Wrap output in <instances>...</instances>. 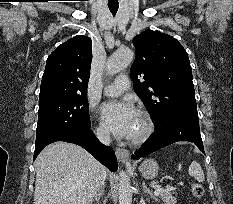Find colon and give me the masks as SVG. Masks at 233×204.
I'll return each mask as SVG.
<instances>
[{"label":"colon","mask_w":233,"mask_h":204,"mask_svg":"<svg viewBox=\"0 0 233 204\" xmlns=\"http://www.w3.org/2000/svg\"><path fill=\"white\" fill-rule=\"evenodd\" d=\"M191 191L196 199H201L204 195V187L198 182H192Z\"/></svg>","instance_id":"colon-1"}]
</instances>
